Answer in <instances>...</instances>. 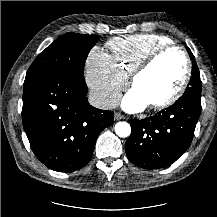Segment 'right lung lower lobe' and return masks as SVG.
<instances>
[{
	"label": "right lung lower lobe",
	"instance_id": "obj_1",
	"mask_svg": "<svg viewBox=\"0 0 217 217\" xmlns=\"http://www.w3.org/2000/svg\"><path fill=\"white\" fill-rule=\"evenodd\" d=\"M88 89L65 70L24 82L23 127L36 157L48 168L72 172L85 166L98 135L114 113L91 106Z\"/></svg>",
	"mask_w": 217,
	"mask_h": 217
}]
</instances>
